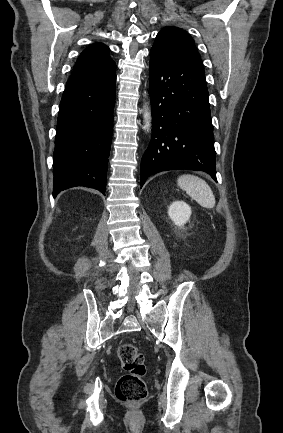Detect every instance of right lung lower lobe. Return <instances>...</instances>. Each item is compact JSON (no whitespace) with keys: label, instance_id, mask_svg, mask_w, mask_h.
<instances>
[{"label":"right lung lower lobe","instance_id":"obj_1","mask_svg":"<svg viewBox=\"0 0 283 433\" xmlns=\"http://www.w3.org/2000/svg\"><path fill=\"white\" fill-rule=\"evenodd\" d=\"M115 83L116 75L65 89L55 138L53 197L74 186L95 188L105 195Z\"/></svg>","mask_w":283,"mask_h":433}]
</instances>
